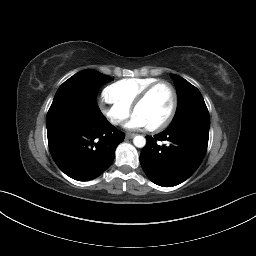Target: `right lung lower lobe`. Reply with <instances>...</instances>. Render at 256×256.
Instances as JSON below:
<instances>
[{
    "label": "right lung lower lobe",
    "instance_id": "98d812e1",
    "mask_svg": "<svg viewBox=\"0 0 256 256\" xmlns=\"http://www.w3.org/2000/svg\"><path fill=\"white\" fill-rule=\"evenodd\" d=\"M46 126L53 160L62 172L78 181L102 174L112 164L115 149L125 137L98 106L88 111L53 113L47 116Z\"/></svg>",
    "mask_w": 256,
    "mask_h": 256
}]
</instances>
